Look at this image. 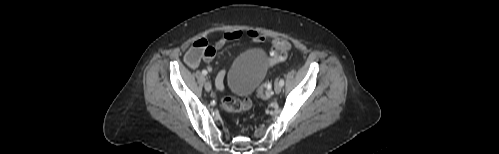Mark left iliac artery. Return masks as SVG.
<instances>
[{"instance_id":"left-iliac-artery-1","label":"left iliac artery","mask_w":499,"mask_h":154,"mask_svg":"<svg viewBox=\"0 0 499 154\" xmlns=\"http://www.w3.org/2000/svg\"><path fill=\"white\" fill-rule=\"evenodd\" d=\"M279 84H280L281 86H283V85H284V79H280Z\"/></svg>"}]
</instances>
